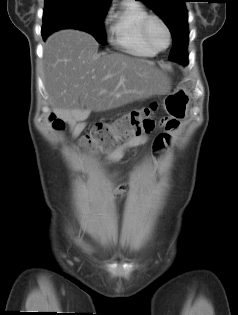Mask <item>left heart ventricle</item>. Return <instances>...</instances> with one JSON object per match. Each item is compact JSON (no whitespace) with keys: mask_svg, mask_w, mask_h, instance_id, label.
<instances>
[{"mask_svg":"<svg viewBox=\"0 0 238 315\" xmlns=\"http://www.w3.org/2000/svg\"><path fill=\"white\" fill-rule=\"evenodd\" d=\"M149 35L153 43L158 47H165L167 34L162 25L156 21L152 22L149 28Z\"/></svg>","mask_w":238,"mask_h":315,"instance_id":"left-heart-ventricle-1","label":"left heart ventricle"}]
</instances>
